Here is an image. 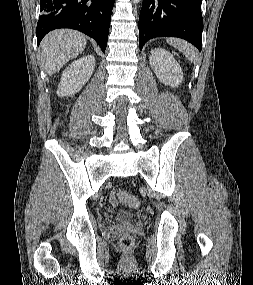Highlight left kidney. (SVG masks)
Wrapping results in <instances>:
<instances>
[{"instance_id": "obj_1", "label": "left kidney", "mask_w": 253, "mask_h": 285, "mask_svg": "<svg viewBox=\"0 0 253 285\" xmlns=\"http://www.w3.org/2000/svg\"><path fill=\"white\" fill-rule=\"evenodd\" d=\"M150 66L155 75L165 85L178 87L183 81V72L173 55L167 50L156 48L149 56Z\"/></svg>"}]
</instances>
